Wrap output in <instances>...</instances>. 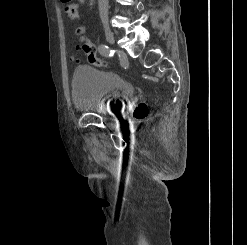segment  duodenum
<instances>
[{"mask_svg": "<svg viewBox=\"0 0 247 245\" xmlns=\"http://www.w3.org/2000/svg\"><path fill=\"white\" fill-rule=\"evenodd\" d=\"M80 2H84L85 0H79Z\"/></svg>", "mask_w": 247, "mask_h": 245, "instance_id": "duodenum-1", "label": "duodenum"}]
</instances>
